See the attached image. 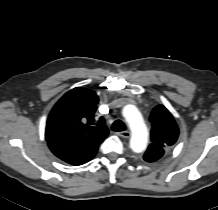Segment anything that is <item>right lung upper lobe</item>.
Here are the masks:
<instances>
[{
  "mask_svg": "<svg viewBox=\"0 0 218 210\" xmlns=\"http://www.w3.org/2000/svg\"><path fill=\"white\" fill-rule=\"evenodd\" d=\"M99 98L95 92L74 88L53 107L46 123V140L82 150L98 149L107 137L103 117L95 115Z\"/></svg>",
  "mask_w": 218,
  "mask_h": 210,
  "instance_id": "cb5924a9",
  "label": "right lung upper lobe"
}]
</instances>
